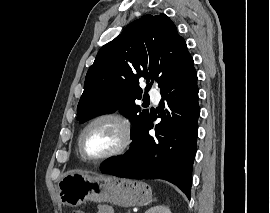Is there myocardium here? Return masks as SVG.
I'll return each mask as SVG.
<instances>
[{
    "label": "myocardium",
    "mask_w": 270,
    "mask_h": 213,
    "mask_svg": "<svg viewBox=\"0 0 270 213\" xmlns=\"http://www.w3.org/2000/svg\"><path fill=\"white\" fill-rule=\"evenodd\" d=\"M100 121H113L117 123L122 128L123 140H122V143L115 150L101 157L94 158V157H90L85 152L84 147H83V139L87 130L92 125ZM131 140H132L131 127H130L129 122L123 116L116 113H103V114H99L93 117L91 120H89L85 124V126L81 130L78 137V150L82 158L85 159L86 161L91 162V163H101L103 161L110 160V159H113L122 155L128 149L131 143Z\"/></svg>",
    "instance_id": "f54148a6"
}]
</instances>
